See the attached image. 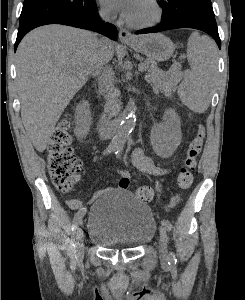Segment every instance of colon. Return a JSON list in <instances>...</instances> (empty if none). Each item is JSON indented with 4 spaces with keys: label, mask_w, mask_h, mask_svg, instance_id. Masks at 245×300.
<instances>
[{
    "label": "colon",
    "mask_w": 245,
    "mask_h": 300,
    "mask_svg": "<svg viewBox=\"0 0 245 300\" xmlns=\"http://www.w3.org/2000/svg\"><path fill=\"white\" fill-rule=\"evenodd\" d=\"M204 138L205 128L203 125H199L197 135L190 143L177 177V183L181 189H188L192 185L193 171L202 150ZM70 144L69 124L67 121H63L52 132L47 146L49 175L54 186L63 193L72 189L82 168V164ZM136 196L142 202L147 203L153 199L154 191L150 186H142L136 190ZM179 201V196L174 197L169 207L176 206Z\"/></svg>",
    "instance_id": "1"
}]
</instances>
